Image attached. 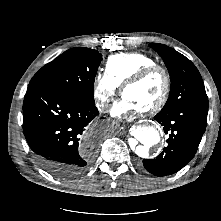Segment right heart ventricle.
I'll use <instances>...</instances> for the list:
<instances>
[{"label":"right heart ventricle","instance_id":"1","mask_svg":"<svg viewBox=\"0 0 221 221\" xmlns=\"http://www.w3.org/2000/svg\"><path fill=\"white\" fill-rule=\"evenodd\" d=\"M155 64L156 60L145 53H120L108 58L106 73L121 86L140 69Z\"/></svg>","mask_w":221,"mask_h":221}]
</instances>
